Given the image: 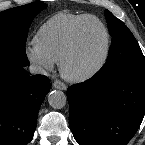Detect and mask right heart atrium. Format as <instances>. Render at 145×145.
Segmentation results:
<instances>
[{
    "label": "right heart atrium",
    "mask_w": 145,
    "mask_h": 145,
    "mask_svg": "<svg viewBox=\"0 0 145 145\" xmlns=\"http://www.w3.org/2000/svg\"><path fill=\"white\" fill-rule=\"evenodd\" d=\"M25 55L29 62L39 72L50 71L54 67V61L49 56L38 50L34 45L26 47Z\"/></svg>",
    "instance_id": "d8ad5b80"
}]
</instances>
